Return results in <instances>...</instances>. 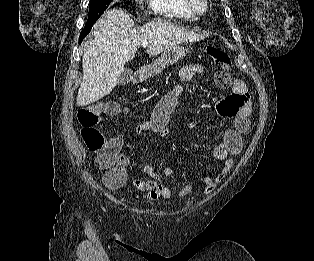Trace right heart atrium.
<instances>
[{
    "label": "right heart atrium",
    "instance_id": "right-heart-atrium-1",
    "mask_svg": "<svg viewBox=\"0 0 314 261\" xmlns=\"http://www.w3.org/2000/svg\"><path fill=\"white\" fill-rule=\"evenodd\" d=\"M143 0H135L137 4H141Z\"/></svg>",
    "mask_w": 314,
    "mask_h": 261
}]
</instances>
